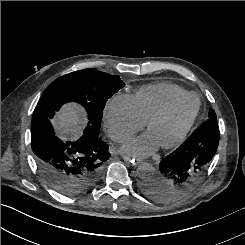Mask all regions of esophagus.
Wrapping results in <instances>:
<instances>
[{
    "label": "esophagus",
    "mask_w": 245,
    "mask_h": 245,
    "mask_svg": "<svg viewBox=\"0 0 245 245\" xmlns=\"http://www.w3.org/2000/svg\"><path fill=\"white\" fill-rule=\"evenodd\" d=\"M123 160L126 161V162H128L131 166H134V167H136L137 165H139L140 162H141L139 159L132 158L130 156H123Z\"/></svg>",
    "instance_id": "obj_1"
}]
</instances>
